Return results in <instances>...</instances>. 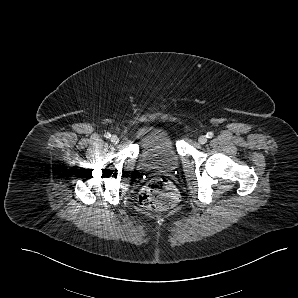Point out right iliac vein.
<instances>
[{
	"label": "right iliac vein",
	"mask_w": 298,
	"mask_h": 298,
	"mask_svg": "<svg viewBox=\"0 0 298 298\" xmlns=\"http://www.w3.org/2000/svg\"><path fill=\"white\" fill-rule=\"evenodd\" d=\"M110 140L113 144H118L119 143V138H118L117 135H112Z\"/></svg>",
	"instance_id": "63e3f726"
}]
</instances>
